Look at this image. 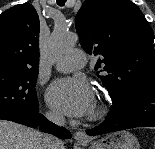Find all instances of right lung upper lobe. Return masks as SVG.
<instances>
[{"label": "right lung upper lobe", "instance_id": "1", "mask_svg": "<svg viewBox=\"0 0 155 149\" xmlns=\"http://www.w3.org/2000/svg\"><path fill=\"white\" fill-rule=\"evenodd\" d=\"M39 27L38 14L27 3L0 15V69L38 71Z\"/></svg>", "mask_w": 155, "mask_h": 149}]
</instances>
